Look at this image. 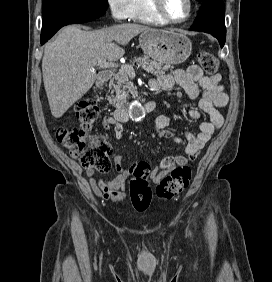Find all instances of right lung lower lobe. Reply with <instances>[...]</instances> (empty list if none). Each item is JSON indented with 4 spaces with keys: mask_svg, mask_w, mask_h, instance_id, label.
Here are the masks:
<instances>
[{
    "mask_svg": "<svg viewBox=\"0 0 272 282\" xmlns=\"http://www.w3.org/2000/svg\"><path fill=\"white\" fill-rule=\"evenodd\" d=\"M106 12L97 7H80L54 11L43 17L41 44L47 42L61 27L68 24L89 22Z\"/></svg>",
    "mask_w": 272,
    "mask_h": 282,
    "instance_id": "98d812e1",
    "label": "right lung lower lobe"
}]
</instances>
